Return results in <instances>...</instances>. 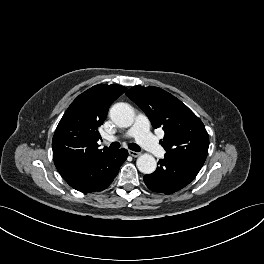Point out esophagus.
I'll list each match as a JSON object with an SVG mask.
<instances>
[{"mask_svg": "<svg viewBox=\"0 0 264 264\" xmlns=\"http://www.w3.org/2000/svg\"><path fill=\"white\" fill-rule=\"evenodd\" d=\"M128 153L132 157H138V156H140V153L139 152H135V151H132V150H129Z\"/></svg>", "mask_w": 264, "mask_h": 264, "instance_id": "34e87169", "label": "esophagus"}]
</instances>
